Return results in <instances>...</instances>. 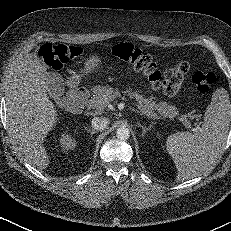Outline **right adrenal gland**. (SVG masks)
<instances>
[{
  "label": "right adrenal gland",
  "mask_w": 231,
  "mask_h": 231,
  "mask_svg": "<svg viewBox=\"0 0 231 231\" xmlns=\"http://www.w3.org/2000/svg\"><path fill=\"white\" fill-rule=\"evenodd\" d=\"M85 129L87 130L88 133H90L91 137L96 133V131L93 129H89V130L87 128H85Z\"/></svg>",
  "instance_id": "right-adrenal-gland-1"
}]
</instances>
